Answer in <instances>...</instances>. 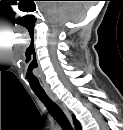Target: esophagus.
<instances>
[{
    "label": "esophagus",
    "mask_w": 123,
    "mask_h": 130,
    "mask_svg": "<svg viewBox=\"0 0 123 130\" xmlns=\"http://www.w3.org/2000/svg\"><path fill=\"white\" fill-rule=\"evenodd\" d=\"M49 97L63 110V112L66 114V116L69 118V120L72 122V117L68 109L66 108L65 104L57 98L56 95L53 93H48Z\"/></svg>",
    "instance_id": "esophagus-1"
}]
</instances>
